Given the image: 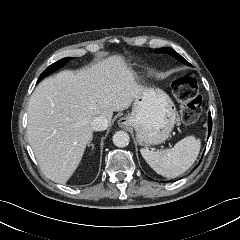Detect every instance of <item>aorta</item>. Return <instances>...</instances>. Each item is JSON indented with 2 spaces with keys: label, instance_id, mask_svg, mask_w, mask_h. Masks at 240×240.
I'll list each match as a JSON object with an SVG mask.
<instances>
[{
  "label": "aorta",
  "instance_id": "obj_1",
  "mask_svg": "<svg viewBox=\"0 0 240 240\" xmlns=\"http://www.w3.org/2000/svg\"><path fill=\"white\" fill-rule=\"evenodd\" d=\"M130 142V137L125 131H117L113 135V143L115 146L123 148L126 147Z\"/></svg>",
  "mask_w": 240,
  "mask_h": 240
}]
</instances>
